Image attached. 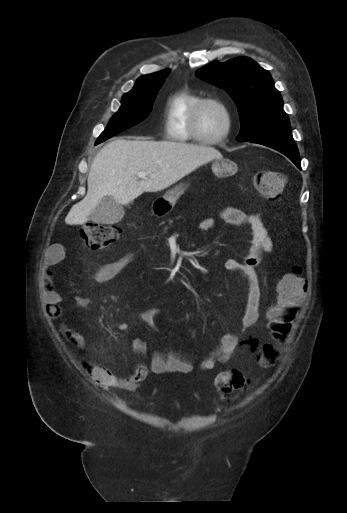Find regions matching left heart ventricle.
<instances>
[{"mask_svg": "<svg viewBox=\"0 0 347 513\" xmlns=\"http://www.w3.org/2000/svg\"><path fill=\"white\" fill-rule=\"evenodd\" d=\"M198 127L203 137H218L226 128V116L224 111L221 107L213 103L205 105L199 114Z\"/></svg>", "mask_w": 347, "mask_h": 513, "instance_id": "left-heart-ventricle-1", "label": "left heart ventricle"}]
</instances>
